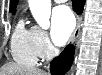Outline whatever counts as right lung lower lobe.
<instances>
[{"mask_svg":"<svg viewBox=\"0 0 102 75\" xmlns=\"http://www.w3.org/2000/svg\"><path fill=\"white\" fill-rule=\"evenodd\" d=\"M73 9L77 13H81L85 0H72ZM74 47L68 45L65 50L51 62L50 70L52 75H64L67 72L73 62Z\"/></svg>","mask_w":102,"mask_h":75,"instance_id":"98d812e1","label":"right lung lower lobe"}]
</instances>
